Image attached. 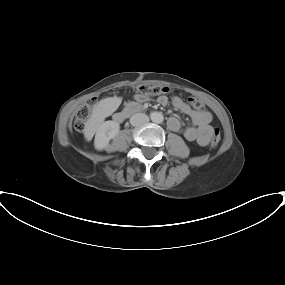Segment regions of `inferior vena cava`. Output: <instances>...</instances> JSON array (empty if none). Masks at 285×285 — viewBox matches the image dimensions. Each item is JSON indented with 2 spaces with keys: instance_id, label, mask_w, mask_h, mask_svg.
<instances>
[{
  "instance_id": "602c4592",
  "label": "inferior vena cava",
  "mask_w": 285,
  "mask_h": 285,
  "mask_svg": "<svg viewBox=\"0 0 285 285\" xmlns=\"http://www.w3.org/2000/svg\"><path fill=\"white\" fill-rule=\"evenodd\" d=\"M149 122V117L143 113H136L130 118L132 126H141Z\"/></svg>"
}]
</instances>
